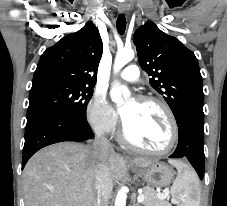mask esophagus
I'll list each match as a JSON object with an SVG mask.
<instances>
[{"mask_svg":"<svg viewBox=\"0 0 227 206\" xmlns=\"http://www.w3.org/2000/svg\"><path fill=\"white\" fill-rule=\"evenodd\" d=\"M118 10L121 14L126 12V5L124 3H121L118 7Z\"/></svg>","mask_w":227,"mask_h":206,"instance_id":"34e87169","label":"esophagus"}]
</instances>
